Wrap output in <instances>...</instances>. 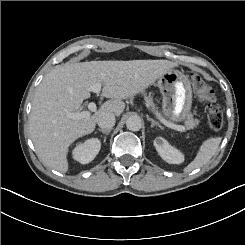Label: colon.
<instances>
[{
	"instance_id": "colon-1",
	"label": "colon",
	"mask_w": 245,
	"mask_h": 245,
	"mask_svg": "<svg viewBox=\"0 0 245 245\" xmlns=\"http://www.w3.org/2000/svg\"><path fill=\"white\" fill-rule=\"evenodd\" d=\"M192 85L201 101L206 104V116L209 126L218 130L223 126V111L215 100V93L199 73H192Z\"/></svg>"
}]
</instances>
